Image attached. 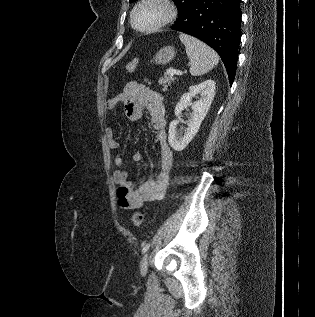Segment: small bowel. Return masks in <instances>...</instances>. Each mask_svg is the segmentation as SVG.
I'll return each mask as SVG.
<instances>
[{
  "label": "small bowel",
  "instance_id": "small-bowel-1",
  "mask_svg": "<svg viewBox=\"0 0 315 317\" xmlns=\"http://www.w3.org/2000/svg\"><path fill=\"white\" fill-rule=\"evenodd\" d=\"M118 104H123L124 113L131 121L140 119L143 109H146L150 116V124L157 133L160 145V168L155 179L142 181L135 185L129 180L128 173L124 169L126 158L117 155L114 159L116 170L113 179L117 189L118 204L122 209L133 210L142 207L146 203L161 200L168 187L170 173L173 165V153L170 149L165 135L166 116L162 96L145 87L138 82H129L123 91L106 104V111H113ZM106 139L111 150L120 148V143L114 137L113 128L106 129ZM133 162H140L142 154L133 153L130 156Z\"/></svg>",
  "mask_w": 315,
  "mask_h": 317
}]
</instances>
